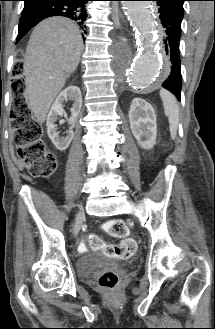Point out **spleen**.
Wrapping results in <instances>:
<instances>
[{
    "mask_svg": "<svg viewBox=\"0 0 215 329\" xmlns=\"http://www.w3.org/2000/svg\"><path fill=\"white\" fill-rule=\"evenodd\" d=\"M160 97L163 102L165 115L168 117L171 138L175 139L179 123V108L176 98L165 89L160 90Z\"/></svg>",
    "mask_w": 215,
    "mask_h": 329,
    "instance_id": "spleen-1",
    "label": "spleen"
}]
</instances>
